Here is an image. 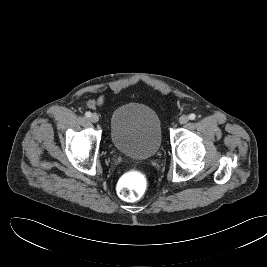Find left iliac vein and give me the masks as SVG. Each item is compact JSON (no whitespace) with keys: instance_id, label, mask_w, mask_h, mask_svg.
<instances>
[{"instance_id":"1","label":"left iliac vein","mask_w":267,"mask_h":267,"mask_svg":"<svg viewBox=\"0 0 267 267\" xmlns=\"http://www.w3.org/2000/svg\"><path fill=\"white\" fill-rule=\"evenodd\" d=\"M188 121H189V117H188L187 115H182V116L179 118V123H180V124H186Z\"/></svg>"}]
</instances>
